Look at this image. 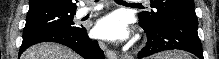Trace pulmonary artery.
<instances>
[{"instance_id":"pulmonary-artery-1","label":"pulmonary artery","mask_w":219,"mask_h":59,"mask_svg":"<svg viewBox=\"0 0 219 59\" xmlns=\"http://www.w3.org/2000/svg\"><path fill=\"white\" fill-rule=\"evenodd\" d=\"M101 8H102V6L83 7L80 10V15L83 16V15H86L87 13L100 10Z\"/></svg>"}]
</instances>
